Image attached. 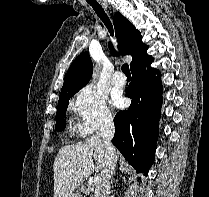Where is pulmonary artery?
Listing matches in <instances>:
<instances>
[{
  "mask_svg": "<svg viewBox=\"0 0 209 197\" xmlns=\"http://www.w3.org/2000/svg\"><path fill=\"white\" fill-rule=\"evenodd\" d=\"M112 83L113 85L117 86V87H123L126 85V78L125 76L122 74V72H115V74L113 75L112 78Z\"/></svg>",
  "mask_w": 209,
  "mask_h": 197,
  "instance_id": "1",
  "label": "pulmonary artery"
}]
</instances>
